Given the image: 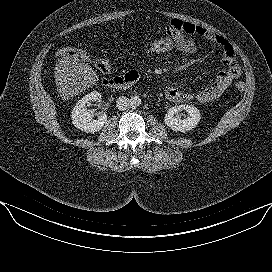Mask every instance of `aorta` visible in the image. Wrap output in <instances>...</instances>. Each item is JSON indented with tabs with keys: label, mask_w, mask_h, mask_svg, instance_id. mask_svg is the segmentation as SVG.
<instances>
[{
	"label": "aorta",
	"mask_w": 272,
	"mask_h": 272,
	"mask_svg": "<svg viewBox=\"0 0 272 272\" xmlns=\"http://www.w3.org/2000/svg\"><path fill=\"white\" fill-rule=\"evenodd\" d=\"M129 100H130V106L133 108H136L140 106L141 104V98L137 95L131 96Z\"/></svg>",
	"instance_id": "aorta-1"
}]
</instances>
